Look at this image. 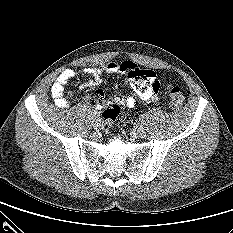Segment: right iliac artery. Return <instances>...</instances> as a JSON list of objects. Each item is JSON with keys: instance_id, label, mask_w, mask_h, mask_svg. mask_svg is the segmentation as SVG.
Returning <instances> with one entry per match:
<instances>
[{"instance_id": "right-iliac-artery-1", "label": "right iliac artery", "mask_w": 233, "mask_h": 233, "mask_svg": "<svg viewBox=\"0 0 233 233\" xmlns=\"http://www.w3.org/2000/svg\"><path fill=\"white\" fill-rule=\"evenodd\" d=\"M92 118H94L95 120L99 119V113L95 111V112L92 114Z\"/></svg>"}]
</instances>
